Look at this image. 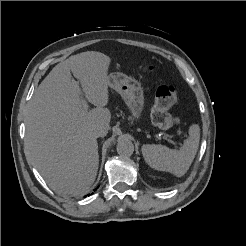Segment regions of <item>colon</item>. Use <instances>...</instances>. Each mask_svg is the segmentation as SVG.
<instances>
[{
	"instance_id": "5ec220e1",
	"label": "colon",
	"mask_w": 246,
	"mask_h": 246,
	"mask_svg": "<svg viewBox=\"0 0 246 246\" xmlns=\"http://www.w3.org/2000/svg\"><path fill=\"white\" fill-rule=\"evenodd\" d=\"M142 69L149 71L152 67L146 66ZM178 99V91L173 85H163L157 88L155 101L151 109V120L154 125L162 129H168L179 124V119L168 113Z\"/></svg>"
}]
</instances>
